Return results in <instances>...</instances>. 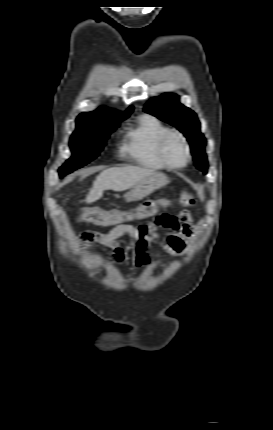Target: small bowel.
Segmentation results:
<instances>
[{"label": "small bowel", "mask_w": 273, "mask_h": 430, "mask_svg": "<svg viewBox=\"0 0 273 430\" xmlns=\"http://www.w3.org/2000/svg\"><path fill=\"white\" fill-rule=\"evenodd\" d=\"M162 230L169 231L166 239L161 235ZM126 234L136 243V266L144 268L150 261L151 244L160 245L169 255L178 257L184 252L186 240L194 236L195 228L190 214L183 211L178 217L163 215L139 227L120 224L106 233H85L81 236V242L109 247L114 253L111 264H118L125 258L118 239Z\"/></svg>", "instance_id": "obj_1"}]
</instances>
